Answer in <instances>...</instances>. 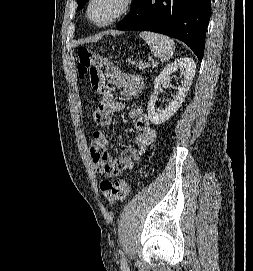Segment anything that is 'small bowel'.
Wrapping results in <instances>:
<instances>
[{
    "label": "small bowel",
    "instance_id": "obj_1",
    "mask_svg": "<svg viewBox=\"0 0 253 271\" xmlns=\"http://www.w3.org/2000/svg\"><path fill=\"white\" fill-rule=\"evenodd\" d=\"M100 90L99 101L93 112V119L98 124L110 126L115 113L124 109L122 102L116 99V92L105 83L107 80L111 85L121 90L124 98H135L142 89L143 82L139 76L122 73L119 69L109 66L106 73L98 71ZM128 117L134 120L135 128L139 133L134 137L132 143L114 161L106 151V136L103 131L95 130L92 133L88 145L90 158L96 168V172L108 179L116 178L121 172L132 170L136 162L141 159L148 147L157 137L156 130L150 125L149 119L139 108H132Z\"/></svg>",
    "mask_w": 253,
    "mask_h": 271
}]
</instances>
